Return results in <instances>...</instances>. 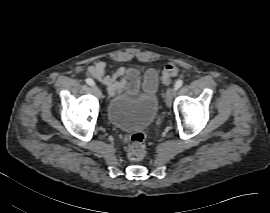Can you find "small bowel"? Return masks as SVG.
Instances as JSON below:
<instances>
[{
	"label": "small bowel",
	"instance_id": "1",
	"mask_svg": "<svg viewBox=\"0 0 270 213\" xmlns=\"http://www.w3.org/2000/svg\"><path fill=\"white\" fill-rule=\"evenodd\" d=\"M88 74L106 86L108 92L126 91L132 95L140 89L153 93L157 87V71L148 69L144 74L137 68L125 69L108 66L104 61H97L88 68Z\"/></svg>",
	"mask_w": 270,
	"mask_h": 213
}]
</instances>
